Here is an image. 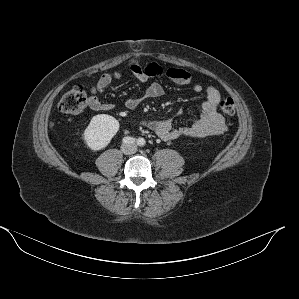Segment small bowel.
Here are the masks:
<instances>
[{"label": "small bowel", "instance_id": "obj_1", "mask_svg": "<svg viewBox=\"0 0 299 299\" xmlns=\"http://www.w3.org/2000/svg\"><path fill=\"white\" fill-rule=\"evenodd\" d=\"M129 69L140 82L164 77L177 85L191 86L194 93H204L206 96L205 101L201 105L198 119L189 127L176 128L173 126L171 119L143 121V125L153 131L160 139L171 141L183 137L203 138L226 131L225 120L219 112L221 94L214 86L205 87L201 83H193L192 75L186 70L174 67L164 68L154 62L149 63L145 67L132 63ZM121 77L122 72L119 70L102 74L88 96V107L95 111L113 110L115 108L114 104L100 101L97 95L102 93L114 80ZM163 93V86L159 82H153L141 98L126 99L125 106L129 109H135L143 101L161 97Z\"/></svg>", "mask_w": 299, "mask_h": 299}]
</instances>
